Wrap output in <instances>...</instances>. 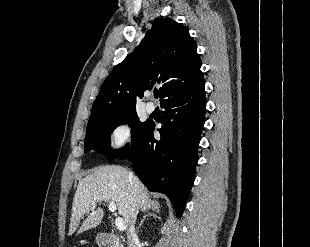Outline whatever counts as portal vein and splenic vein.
<instances>
[{
    "mask_svg": "<svg viewBox=\"0 0 310 247\" xmlns=\"http://www.w3.org/2000/svg\"><path fill=\"white\" fill-rule=\"evenodd\" d=\"M95 203H93L92 205H94ZM117 207H116V204L114 202H109V211L114 213L116 211ZM115 225L117 227V229L119 231H124L126 229V226L124 224V221L122 218L120 217H117L115 219Z\"/></svg>",
    "mask_w": 310,
    "mask_h": 247,
    "instance_id": "portal-vein-and-splenic-vein-1",
    "label": "portal vein and splenic vein"
}]
</instances>
